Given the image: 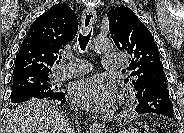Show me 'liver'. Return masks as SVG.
<instances>
[{
	"label": "liver",
	"instance_id": "1",
	"mask_svg": "<svg viewBox=\"0 0 184 133\" xmlns=\"http://www.w3.org/2000/svg\"><path fill=\"white\" fill-rule=\"evenodd\" d=\"M4 133H71L67 119L49 100H30L5 118Z\"/></svg>",
	"mask_w": 184,
	"mask_h": 133
}]
</instances>
